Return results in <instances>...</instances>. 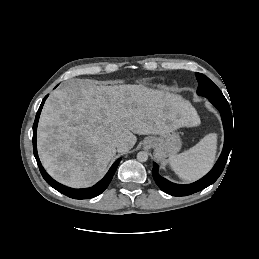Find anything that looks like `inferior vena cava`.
Listing matches in <instances>:
<instances>
[{
  "mask_svg": "<svg viewBox=\"0 0 259 259\" xmlns=\"http://www.w3.org/2000/svg\"><path fill=\"white\" fill-rule=\"evenodd\" d=\"M113 143H114L115 147H117V148H120L124 144L123 140H121V139H115Z\"/></svg>",
  "mask_w": 259,
  "mask_h": 259,
  "instance_id": "1",
  "label": "inferior vena cava"
}]
</instances>
